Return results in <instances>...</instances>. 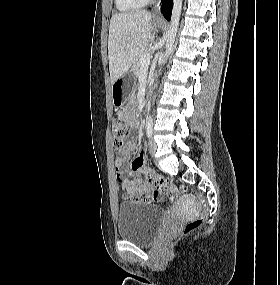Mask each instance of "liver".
<instances>
[{
    "instance_id": "6515ba94",
    "label": "liver",
    "mask_w": 280,
    "mask_h": 285,
    "mask_svg": "<svg viewBox=\"0 0 280 285\" xmlns=\"http://www.w3.org/2000/svg\"><path fill=\"white\" fill-rule=\"evenodd\" d=\"M152 14L145 10L116 13L109 27L108 58L113 84L154 39Z\"/></svg>"
}]
</instances>
